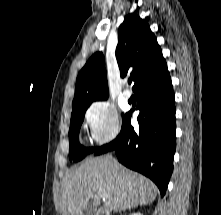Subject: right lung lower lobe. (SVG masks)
<instances>
[{
	"mask_svg": "<svg viewBox=\"0 0 221 215\" xmlns=\"http://www.w3.org/2000/svg\"><path fill=\"white\" fill-rule=\"evenodd\" d=\"M139 129L131 126L132 112L123 116L120 134L94 150H115L120 163L149 177L164 196L173 171L176 148L175 98L168 70L135 90Z\"/></svg>",
	"mask_w": 221,
	"mask_h": 215,
	"instance_id": "right-lung-lower-lobe-1",
	"label": "right lung lower lobe"
}]
</instances>
